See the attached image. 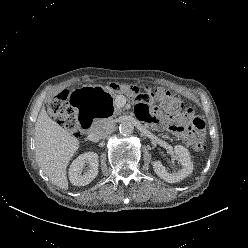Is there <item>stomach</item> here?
Returning <instances> with one entry per match:
<instances>
[{
  "instance_id": "stomach-1",
  "label": "stomach",
  "mask_w": 248,
  "mask_h": 248,
  "mask_svg": "<svg viewBox=\"0 0 248 248\" xmlns=\"http://www.w3.org/2000/svg\"><path fill=\"white\" fill-rule=\"evenodd\" d=\"M69 102L75 111L80 113L91 111L92 115L101 121L111 119L117 110L111 91L102 85L75 88L70 94Z\"/></svg>"
}]
</instances>
